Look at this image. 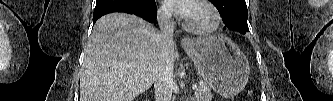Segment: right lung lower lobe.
Returning a JSON list of instances; mask_svg holds the SVG:
<instances>
[{
	"label": "right lung lower lobe",
	"instance_id": "98d812e1",
	"mask_svg": "<svg viewBox=\"0 0 333 101\" xmlns=\"http://www.w3.org/2000/svg\"><path fill=\"white\" fill-rule=\"evenodd\" d=\"M112 12L135 14L151 23L157 18V7L154 0H97L93 24L101 16Z\"/></svg>",
	"mask_w": 333,
	"mask_h": 101
}]
</instances>
